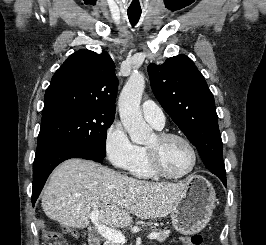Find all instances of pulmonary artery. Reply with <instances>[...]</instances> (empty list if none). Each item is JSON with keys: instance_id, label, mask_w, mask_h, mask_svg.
<instances>
[{"instance_id": "obj_1", "label": "pulmonary artery", "mask_w": 266, "mask_h": 245, "mask_svg": "<svg viewBox=\"0 0 266 245\" xmlns=\"http://www.w3.org/2000/svg\"><path fill=\"white\" fill-rule=\"evenodd\" d=\"M141 110L144 118L156 128L164 125L165 115L158 105H153V100H142Z\"/></svg>"}]
</instances>
